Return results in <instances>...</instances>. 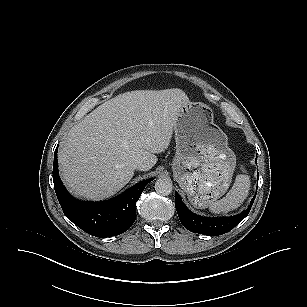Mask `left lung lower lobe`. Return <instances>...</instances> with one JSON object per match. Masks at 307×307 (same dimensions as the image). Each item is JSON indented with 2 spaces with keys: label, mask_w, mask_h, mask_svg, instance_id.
Instances as JSON below:
<instances>
[{
  "label": "left lung lower lobe",
  "mask_w": 307,
  "mask_h": 307,
  "mask_svg": "<svg viewBox=\"0 0 307 307\" xmlns=\"http://www.w3.org/2000/svg\"><path fill=\"white\" fill-rule=\"evenodd\" d=\"M255 196L246 210L230 217L208 218L196 215L185 207L178 193H175V206L179 219L186 229L198 234L218 236L232 230L249 214Z\"/></svg>",
  "instance_id": "0a47b994"
}]
</instances>
